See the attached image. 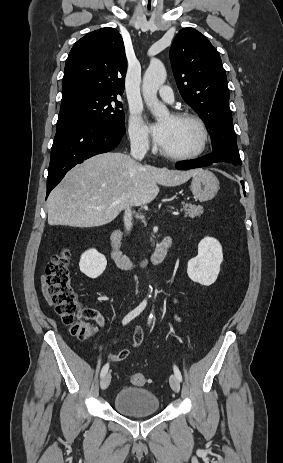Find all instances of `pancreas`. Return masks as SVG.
Masks as SVG:
<instances>
[{"instance_id": "pancreas-1", "label": "pancreas", "mask_w": 283, "mask_h": 463, "mask_svg": "<svg viewBox=\"0 0 283 463\" xmlns=\"http://www.w3.org/2000/svg\"><path fill=\"white\" fill-rule=\"evenodd\" d=\"M182 210L184 211V217L195 218L203 214V206L192 205L189 203H182Z\"/></svg>"}]
</instances>
